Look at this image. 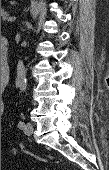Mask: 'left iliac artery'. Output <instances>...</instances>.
I'll return each mask as SVG.
<instances>
[{
	"instance_id": "left-iliac-artery-1",
	"label": "left iliac artery",
	"mask_w": 109,
	"mask_h": 170,
	"mask_svg": "<svg viewBox=\"0 0 109 170\" xmlns=\"http://www.w3.org/2000/svg\"><path fill=\"white\" fill-rule=\"evenodd\" d=\"M24 126H25V123H24V122L20 121V122L18 123V127H19L20 129H23Z\"/></svg>"
}]
</instances>
